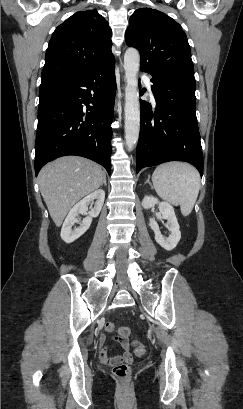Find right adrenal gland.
<instances>
[{
  "label": "right adrenal gland",
  "mask_w": 243,
  "mask_h": 409,
  "mask_svg": "<svg viewBox=\"0 0 243 409\" xmlns=\"http://www.w3.org/2000/svg\"><path fill=\"white\" fill-rule=\"evenodd\" d=\"M102 184H104L105 186L107 185V183H106V176H104V179H103V183Z\"/></svg>",
  "instance_id": "obj_1"
}]
</instances>
